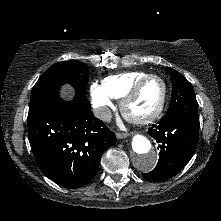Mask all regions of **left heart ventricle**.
<instances>
[{
    "mask_svg": "<svg viewBox=\"0 0 221 221\" xmlns=\"http://www.w3.org/2000/svg\"><path fill=\"white\" fill-rule=\"evenodd\" d=\"M163 87L159 80L151 79L144 84L138 95L130 102L128 111L131 115L143 117L151 114L159 105Z\"/></svg>",
    "mask_w": 221,
    "mask_h": 221,
    "instance_id": "b2bd125f",
    "label": "left heart ventricle"
}]
</instances>
